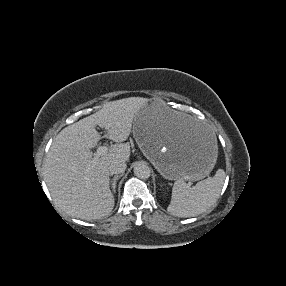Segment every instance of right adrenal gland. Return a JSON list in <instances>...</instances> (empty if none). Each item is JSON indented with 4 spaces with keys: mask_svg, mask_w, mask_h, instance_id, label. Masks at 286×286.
Here are the masks:
<instances>
[{
    "mask_svg": "<svg viewBox=\"0 0 286 286\" xmlns=\"http://www.w3.org/2000/svg\"><path fill=\"white\" fill-rule=\"evenodd\" d=\"M121 177H122L121 174H120V175H116V176H114L113 179L111 180L110 186H111V188H112L113 193L116 192V183H117V180H119Z\"/></svg>",
    "mask_w": 286,
    "mask_h": 286,
    "instance_id": "2a0ac1e0",
    "label": "right adrenal gland"
}]
</instances>
